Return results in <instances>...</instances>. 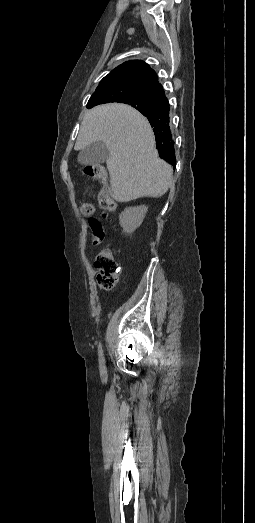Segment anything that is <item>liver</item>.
<instances>
[{
	"label": "liver",
	"mask_w": 255,
	"mask_h": 523,
	"mask_svg": "<svg viewBox=\"0 0 255 523\" xmlns=\"http://www.w3.org/2000/svg\"><path fill=\"white\" fill-rule=\"evenodd\" d=\"M105 142L110 158L112 198L130 202L141 196L160 198L171 186L172 168L160 160L154 132L140 112L125 104H104L86 112L74 150Z\"/></svg>",
	"instance_id": "obj_1"
}]
</instances>
